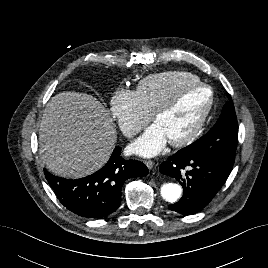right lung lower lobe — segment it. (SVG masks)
I'll return each mask as SVG.
<instances>
[{"instance_id":"obj_1","label":"right lung lower lobe","mask_w":268,"mask_h":268,"mask_svg":"<svg viewBox=\"0 0 268 268\" xmlns=\"http://www.w3.org/2000/svg\"><path fill=\"white\" fill-rule=\"evenodd\" d=\"M120 154L121 148L116 147L105 166L81 179L59 178L45 169L44 174L57 198L68 210L87 218H102L120 206L121 188L128 178L148 174L144 163L125 160Z\"/></svg>"}]
</instances>
